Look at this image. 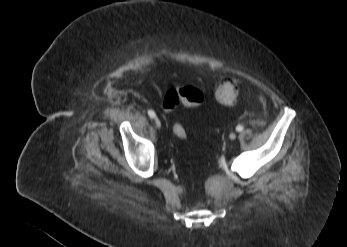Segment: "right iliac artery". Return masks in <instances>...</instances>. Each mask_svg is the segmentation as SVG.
Returning <instances> with one entry per match:
<instances>
[{
  "instance_id": "obj_1",
  "label": "right iliac artery",
  "mask_w": 347,
  "mask_h": 247,
  "mask_svg": "<svg viewBox=\"0 0 347 247\" xmlns=\"http://www.w3.org/2000/svg\"><path fill=\"white\" fill-rule=\"evenodd\" d=\"M148 115L151 117V118H155L156 117V114L153 110H149L148 111Z\"/></svg>"
}]
</instances>
